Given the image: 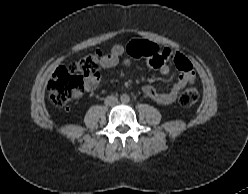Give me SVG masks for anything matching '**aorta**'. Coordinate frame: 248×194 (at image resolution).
<instances>
[{
    "instance_id": "obj_1",
    "label": "aorta",
    "mask_w": 248,
    "mask_h": 194,
    "mask_svg": "<svg viewBox=\"0 0 248 194\" xmlns=\"http://www.w3.org/2000/svg\"><path fill=\"white\" fill-rule=\"evenodd\" d=\"M120 100L122 103H128L130 101V97L127 94H122Z\"/></svg>"
}]
</instances>
